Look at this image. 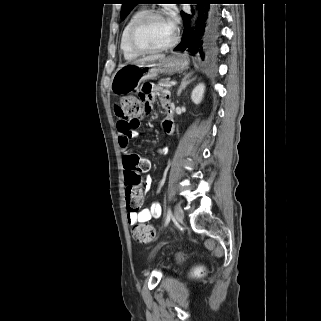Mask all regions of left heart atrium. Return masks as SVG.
I'll return each mask as SVG.
<instances>
[{
    "instance_id": "obj_1",
    "label": "left heart atrium",
    "mask_w": 321,
    "mask_h": 321,
    "mask_svg": "<svg viewBox=\"0 0 321 321\" xmlns=\"http://www.w3.org/2000/svg\"><path fill=\"white\" fill-rule=\"evenodd\" d=\"M169 22L171 23V25L174 27V19L169 20Z\"/></svg>"
}]
</instances>
